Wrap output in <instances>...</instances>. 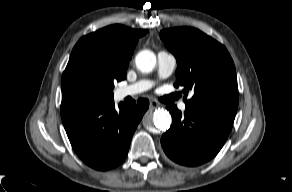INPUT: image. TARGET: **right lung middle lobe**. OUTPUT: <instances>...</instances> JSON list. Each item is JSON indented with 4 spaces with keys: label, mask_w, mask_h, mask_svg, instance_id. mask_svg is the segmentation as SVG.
<instances>
[{
    "label": "right lung middle lobe",
    "mask_w": 292,
    "mask_h": 192,
    "mask_svg": "<svg viewBox=\"0 0 292 192\" xmlns=\"http://www.w3.org/2000/svg\"><path fill=\"white\" fill-rule=\"evenodd\" d=\"M113 76L106 74L84 58H70L63 73L62 104H106L113 101Z\"/></svg>",
    "instance_id": "obj_1"
}]
</instances>
